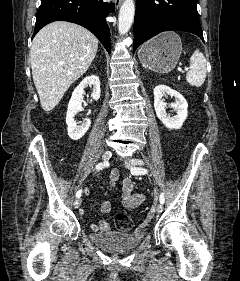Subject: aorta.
Here are the masks:
<instances>
[{"label": "aorta", "instance_id": "obj_1", "mask_svg": "<svg viewBox=\"0 0 240 281\" xmlns=\"http://www.w3.org/2000/svg\"><path fill=\"white\" fill-rule=\"evenodd\" d=\"M135 14L134 0H124L119 10L118 31L120 35H125L130 30Z\"/></svg>", "mask_w": 240, "mask_h": 281}]
</instances>
